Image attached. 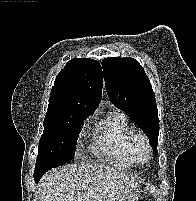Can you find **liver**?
<instances>
[{
  "instance_id": "1",
  "label": "liver",
  "mask_w": 196,
  "mask_h": 201,
  "mask_svg": "<svg viewBox=\"0 0 196 201\" xmlns=\"http://www.w3.org/2000/svg\"><path fill=\"white\" fill-rule=\"evenodd\" d=\"M137 182L110 165L69 164L52 169L38 183L40 201H125Z\"/></svg>"
}]
</instances>
